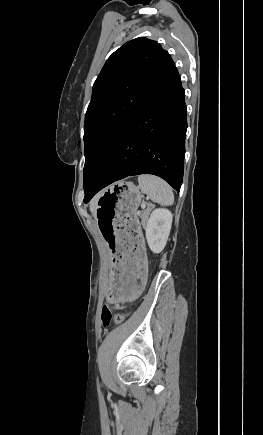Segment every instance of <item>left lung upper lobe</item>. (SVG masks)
<instances>
[{
    "mask_svg": "<svg viewBox=\"0 0 263 435\" xmlns=\"http://www.w3.org/2000/svg\"><path fill=\"white\" fill-rule=\"evenodd\" d=\"M176 73L169 53L144 37L125 43L108 58L94 82L85 115V191L130 123Z\"/></svg>",
    "mask_w": 263,
    "mask_h": 435,
    "instance_id": "5c2ea615",
    "label": "left lung upper lobe"
}]
</instances>
